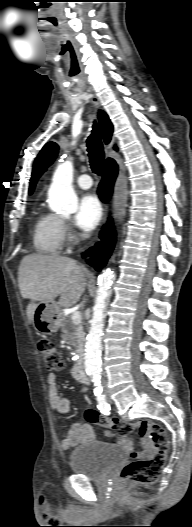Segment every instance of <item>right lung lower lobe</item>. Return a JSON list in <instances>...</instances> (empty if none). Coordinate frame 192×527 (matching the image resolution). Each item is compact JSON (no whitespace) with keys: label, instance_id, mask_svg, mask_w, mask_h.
Masks as SVG:
<instances>
[{"label":"right lung lower lobe","instance_id":"obj_1","mask_svg":"<svg viewBox=\"0 0 192 527\" xmlns=\"http://www.w3.org/2000/svg\"><path fill=\"white\" fill-rule=\"evenodd\" d=\"M117 172L118 167L114 160L106 163L103 169V179L98 188L100 198L104 202H107L112 194ZM100 238L101 242H98L95 247H92L86 253L92 258V261H88V263L92 266H97L95 269L98 271H100V268L106 264L115 244V230L111 219H109L108 223L101 231Z\"/></svg>","mask_w":192,"mask_h":527}]
</instances>
